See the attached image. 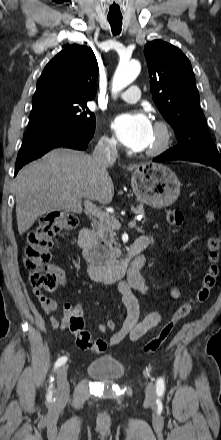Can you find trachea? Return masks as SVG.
I'll list each match as a JSON object with an SVG mask.
<instances>
[{"label": "trachea", "instance_id": "3493384b", "mask_svg": "<svg viewBox=\"0 0 221 440\" xmlns=\"http://www.w3.org/2000/svg\"><path fill=\"white\" fill-rule=\"evenodd\" d=\"M108 21L111 26V30L113 35H117L121 33V27H122V17H108Z\"/></svg>", "mask_w": 221, "mask_h": 440}]
</instances>
